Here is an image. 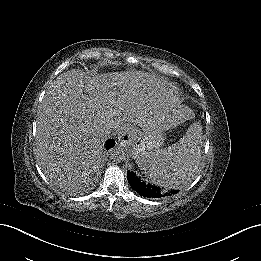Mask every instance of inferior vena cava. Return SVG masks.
<instances>
[{"label":"inferior vena cava","mask_w":261,"mask_h":261,"mask_svg":"<svg viewBox=\"0 0 261 261\" xmlns=\"http://www.w3.org/2000/svg\"><path fill=\"white\" fill-rule=\"evenodd\" d=\"M114 130H115L114 127L109 126V127H107V128L105 129V133H106V135L108 136V135H110Z\"/></svg>","instance_id":"inferior-vena-cava-1"}]
</instances>
